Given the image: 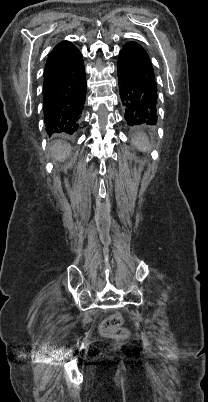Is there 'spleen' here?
<instances>
[{
    "label": "spleen",
    "instance_id": "spleen-1",
    "mask_svg": "<svg viewBox=\"0 0 208 402\" xmlns=\"http://www.w3.org/2000/svg\"><path fill=\"white\" fill-rule=\"evenodd\" d=\"M133 146L139 150V152H149L150 144L146 134L140 132V134H136L135 138L132 140Z\"/></svg>",
    "mask_w": 208,
    "mask_h": 402
}]
</instances>
